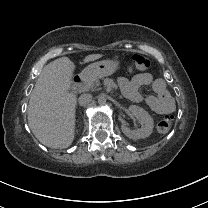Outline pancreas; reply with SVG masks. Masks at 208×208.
Listing matches in <instances>:
<instances>
[{"label": "pancreas", "mask_w": 208, "mask_h": 208, "mask_svg": "<svg viewBox=\"0 0 208 208\" xmlns=\"http://www.w3.org/2000/svg\"><path fill=\"white\" fill-rule=\"evenodd\" d=\"M101 83L96 79H90L88 80V83L86 85V91L93 92L101 90L100 88Z\"/></svg>", "instance_id": "cf45deb5"}]
</instances>
